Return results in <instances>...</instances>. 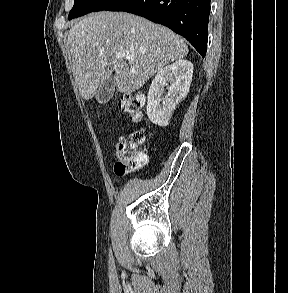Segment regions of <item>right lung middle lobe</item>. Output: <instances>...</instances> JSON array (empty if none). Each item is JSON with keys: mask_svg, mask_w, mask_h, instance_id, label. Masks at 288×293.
Instances as JSON below:
<instances>
[{"mask_svg": "<svg viewBox=\"0 0 288 293\" xmlns=\"http://www.w3.org/2000/svg\"><path fill=\"white\" fill-rule=\"evenodd\" d=\"M118 0H74L68 19L80 17L90 12L106 10Z\"/></svg>", "mask_w": 288, "mask_h": 293, "instance_id": "1", "label": "right lung middle lobe"}]
</instances>
